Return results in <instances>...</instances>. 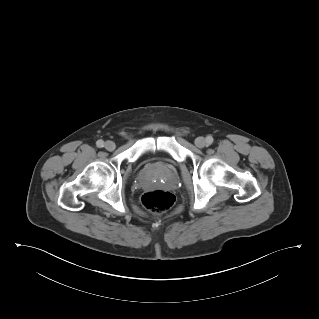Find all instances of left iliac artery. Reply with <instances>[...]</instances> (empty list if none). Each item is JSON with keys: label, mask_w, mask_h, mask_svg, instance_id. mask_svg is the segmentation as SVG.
I'll list each match as a JSON object with an SVG mask.
<instances>
[{"label": "left iliac artery", "mask_w": 319, "mask_h": 319, "mask_svg": "<svg viewBox=\"0 0 319 319\" xmlns=\"http://www.w3.org/2000/svg\"><path fill=\"white\" fill-rule=\"evenodd\" d=\"M206 142H207V144H212L213 143V137L212 136H207L206 137Z\"/></svg>", "instance_id": "44dca946"}]
</instances>
